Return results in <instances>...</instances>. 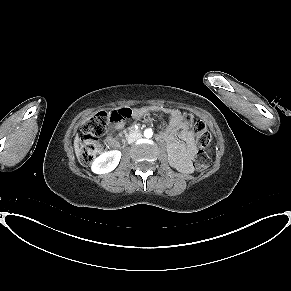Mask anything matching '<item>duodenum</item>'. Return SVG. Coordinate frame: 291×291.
Returning a JSON list of instances; mask_svg holds the SVG:
<instances>
[{
	"instance_id": "obj_1",
	"label": "duodenum",
	"mask_w": 291,
	"mask_h": 291,
	"mask_svg": "<svg viewBox=\"0 0 291 291\" xmlns=\"http://www.w3.org/2000/svg\"><path fill=\"white\" fill-rule=\"evenodd\" d=\"M140 131V126L138 124L130 125L128 128L124 129L116 135V141L114 146H121L125 143L126 139L131 137L133 134Z\"/></svg>"
}]
</instances>
